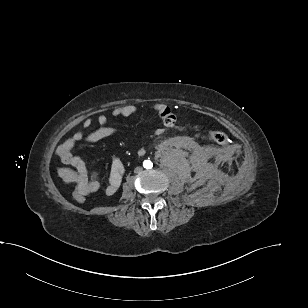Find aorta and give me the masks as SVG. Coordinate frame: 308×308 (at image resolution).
<instances>
[{"instance_id":"aorta-1","label":"aorta","mask_w":308,"mask_h":308,"mask_svg":"<svg viewBox=\"0 0 308 308\" xmlns=\"http://www.w3.org/2000/svg\"><path fill=\"white\" fill-rule=\"evenodd\" d=\"M143 166L147 169H150V168H152L153 163L151 161L147 160V161H144Z\"/></svg>"}]
</instances>
